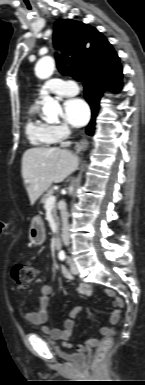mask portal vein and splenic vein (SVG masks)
<instances>
[{
	"label": "portal vein and splenic vein",
	"mask_w": 145,
	"mask_h": 385,
	"mask_svg": "<svg viewBox=\"0 0 145 385\" xmlns=\"http://www.w3.org/2000/svg\"><path fill=\"white\" fill-rule=\"evenodd\" d=\"M55 202H56V197L53 196V195H51V196L47 199L46 204H45V207H46V208H48V207H53L54 204H55Z\"/></svg>",
	"instance_id": "portal-vein-and-splenic-vein-1"
}]
</instances>
